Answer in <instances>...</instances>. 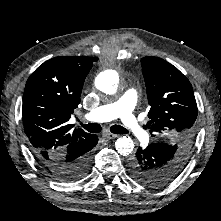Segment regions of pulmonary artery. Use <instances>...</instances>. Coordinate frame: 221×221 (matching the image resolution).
<instances>
[{
  "mask_svg": "<svg viewBox=\"0 0 221 221\" xmlns=\"http://www.w3.org/2000/svg\"><path fill=\"white\" fill-rule=\"evenodd\" d=\"M136 99V90L129 88L118 100L97 107L89 112L85 118L94 122H106L120 118L124 128L127 129L129 133L137 138L143 139L146 137L147 132L133 113Z\"/></svg>",
  "mask_w": 221,
  "mask_h": 221,
  "instance_id": "pulmonary-artery-1",
  "label": "pulmonary artery"
}]
</instances>
